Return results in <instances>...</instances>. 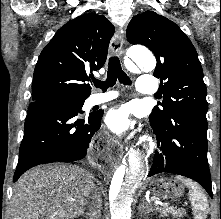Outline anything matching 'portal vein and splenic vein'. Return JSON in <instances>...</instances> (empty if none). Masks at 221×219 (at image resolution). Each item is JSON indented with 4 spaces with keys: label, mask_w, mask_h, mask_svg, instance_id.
Returning a JSON list of instances; mask_svg holds the SVG:
<instances>
[{
    "label": "portal vein and splenic vein",
    "mask_w": 221,
    "mask_h": 219,
    "mask_svg": "<svg viewBox=\"0 0 221 219\" xmlns=\"http://www.w3.org/2000/svg\"><path fill=\"white\" fill-rule=\"evenodd\" d=\"M156 204L161 205V206H163V205H166V206H167V204L161 203V202H157Z\"/></svg>",
    "instance_id": "portal-vein-and-splenic-vein-1"
}]
</instances>
